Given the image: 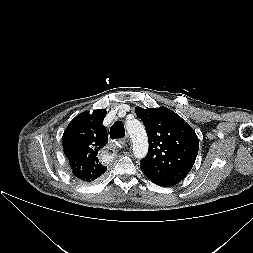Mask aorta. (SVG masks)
I'll use <instances>...</instances> for the list:
<instances>
[{
    "mask_svg": "<svg viewBox=\"0 0 253 253\" xmlns=\"http://www.w3.org/2000/svg\"><path fill=\"white\" fill-rule=\"evenodd\" d=\"M126 129L133 142V153L136 158H144L148 151V138L142 123L136 119L126 122Z\"/></svg>",
    "mask_w": 253,
    "mask_h": 253,
    "instance_id": "762f6f07",
    "label": "aorta"
}]
</instances>
